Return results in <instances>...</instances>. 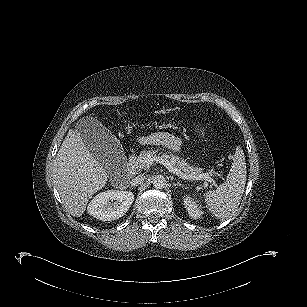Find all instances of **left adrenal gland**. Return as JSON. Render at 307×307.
Wrapping results in <instances>:
<instances>
[{"instance_id":"obj_1","label":"left adrenal gland","mask_w":307,"mask_h":307,"mask_svg":"<svg viewBox=\"0 0 307 307\" xmlns=\"http://www.w3.org/2000/svg\"><path fill=\"white\" fill-rule=\"evenodd\" d=\"M173 186H183L181 183L177 182V183H173Z\"/></svg>"}]
</instances>
